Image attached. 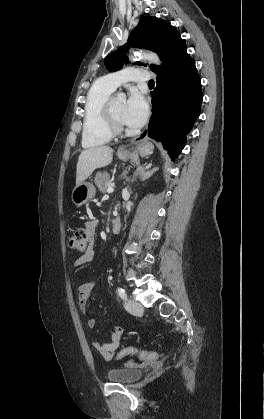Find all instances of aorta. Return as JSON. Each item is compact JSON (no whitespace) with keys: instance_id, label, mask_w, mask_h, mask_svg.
Segmentation results:
<instances>
[{"instance_id":"aorta-1","label":"aorta","mask_w":264,"mask_h":419,"mask_svg":"<svg viewBox=\"0 0 264 419\" xmlns=\"http://www.w3.org/2000/svg\"><path fill=\"white\" fill-rule=\"evenodd\" d=\"M140 59L147 60V61H149V62H151L153 64H156V65H160L161 64V60H160L159 56L156 53L151 52V51L135 52L131 56V60L136 61V60H140ZM118 98L120 100H125L126 96L123 93H119L118 94Z\"/></svg>"}]
</instances>
